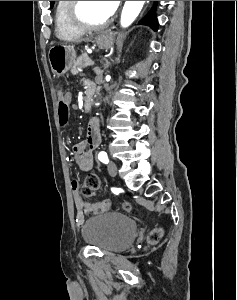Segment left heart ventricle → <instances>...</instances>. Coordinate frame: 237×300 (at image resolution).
<instances>
[{
  "label": "left heart ventricle",
  "mask_w": 237,
  "mask_h": 300,
  "mask_svg": "<svg viewBox=\"0 0 237 300\" xmlns=\"http://www.w3.org/2000/svg\"><path fill=\"white\" fill-rule=\"evenodd\" d=\"M112 14L107 1H82L81 16L90 24H100Z\"/></svg>",
  "instance_id": "b2bd125f"
}]
</instances>
